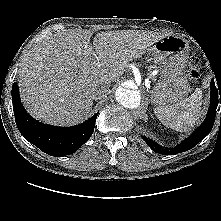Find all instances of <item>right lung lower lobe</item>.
<instances>
[{"label": "right lung lower lobe", "instance_id": "obj_1", "mask_svg": "<svg viewBox=\"0 0 221 221\" xmlns=\"http://www.w3.org/2000/svg\"><path fill=\"white\" fill-rule=\"evenodd\" d=\"M12 103L16 125L24 138L46 154L57 157L76 152L91 137L99 113L74 127L43 124L32 118L25 110L16 83L12 86Z\"/></svg>", "mask_w": 221, "mask_h": 221}]
</instances>
